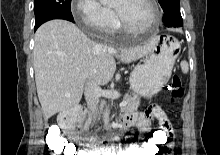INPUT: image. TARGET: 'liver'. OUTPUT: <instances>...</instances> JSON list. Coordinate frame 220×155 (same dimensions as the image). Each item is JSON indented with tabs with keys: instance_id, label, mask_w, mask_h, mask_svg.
Segmentation results:
<instances>
[{
	"instance_id": "liver-1",
	"label": "liver",
	"mask_w": 220,
	"mask_h": 155,
	"mask_svg": "<svg viewBox=\"0 0 220 155\" xmlns=\"http://www.w3.org/2000/svg\"><path fill=\"white\" fill-rule=\"evenodd\" d=\"M34 40L35 82L46 119L77 106L89 82L104 86L111 81L116 70L115 57L130 63L148 54L155 45L124 49L119 54L112 47L90 40L65 20L42 24Z\"/></svg>"
}]
</instances>
